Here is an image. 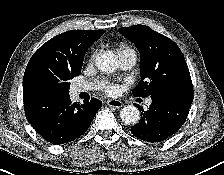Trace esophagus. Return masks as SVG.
<instances>
[{"label":"esophagus","instance_id":"1","mask_svg":"<svg viewBox=\"0 0 224 175\" xmlns=\"http://www.w3.org/2000/svg\"><path fill=\"white\" fill-rule=\"evenodd\" d=\"M106 103L109 107L114 108H121L123 106V103L120 100H108Z\"/></svg>","mask_w":224,"mask_h":175}]
</instances>
